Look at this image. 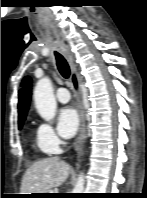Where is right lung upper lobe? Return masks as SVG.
Here are the masks:
<instances>
[{"mask_svg":"<svg viewBox=\"0 0 147 198\" xmlns=\"http://www.w3.org/2000/svg\"><path fill=\"white\" fill-rule=\"evenodd\" d=\"M19 102H18V121L25 119L31 100V79L25 77L21 83V89L19 90Z\"/></svg>","mask_w":147,"mask_h":198,"instance_id":"cb5924a9","label":"right lung upper lobe"}]
</instances>
